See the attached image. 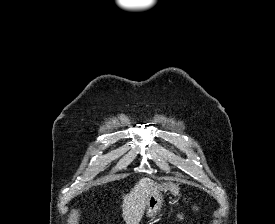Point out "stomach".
Instances as JSON below:
<instances>
[{"mask_svg":"<svg viewBox=\"0 0 275 224\" xmlns=\"http://www.w3.org/2000/svg\"><path fill=\"white\" fill-rule=\"evenodd\" d=\"M167 191L171 192L172 194H177L179 192L178 184L171 181H165L162 184L155 183L153 185L146 208V216L148 218H153L154 215H156L157 212L161 209L163 202L162 192Z\"/></svg>","mask_w":275,"mask_h":224,"instance_id":"obj_1","label":"stomach"}]
</instances>
